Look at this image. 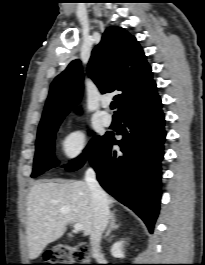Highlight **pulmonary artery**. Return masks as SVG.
Segmentation results:
<instances>
[{
  "mask_svg": "<svg viewBox=\"0 0 205 265\" xmlns=\"http://www.w3.org/2000/svg\"><path fill=\"white\" fill-rule=\"evenodd\" d=\"M103 107L107 108L108 103H104ZM101 120L105 126H109L112 123V116L108 112L104 111L101 115Z\"/></svg>",
  "mask_w": 205,
  "mask_h": 265,
  "instance_id": "e3ab8cb5",
  "label": "pulmonary artery"
}]
</instances>
